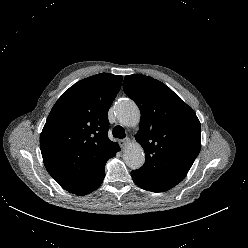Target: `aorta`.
<instances>
[{
    "label": "aorta",
    "instance_id": "762f6f07",
    "mask_svg": "<svg viewBox=\"0 0 248 248\" xmlns=\"http://www.w3.org/2000/svg\"><path fill=\"white\" fill-rule=\"evenodd\" d=\"M116 114L119 122L126 127H135L140 122V110L131 99H121L116 104ZM123 159L132 169L140 168L145 162V153L139 143L129 144L124 151Z\"/></svg>",
    "mask_w": 248,
    "mask_h": 248
}]
</instances>
